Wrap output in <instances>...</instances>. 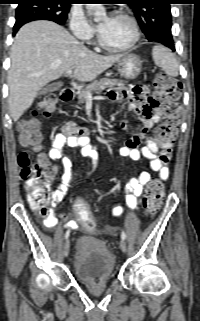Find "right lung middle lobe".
I'll use <instances>...</instances> for the list:
<instances>
[{
  "label": "right lung middle lobe",
  "mask_w": 200,
  "mask_h": 321,
  "mask_svg": "<svg viewBox=\"0 0 200 321\" xmlns=\"http://www.w3.org/2000/svg\"><path fill=\"white\" fill-rule=\"evenodd\" d=\"M72 2L63 0H24L20 1L16 9V21L31 17L43 16L63 25L67 20Z\"/></svg>",
  "instance_id": "1"
}]
</instances>
